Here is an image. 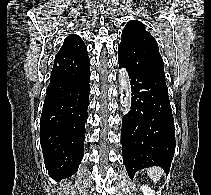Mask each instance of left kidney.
Here are the masks:
<instances>
[{"label": "left kidney", "mask_w": 211, "mask_h": 195, "mask_svg": "<svg viewBox=\"0 0 211 195\" xmlns=\"http://www.w3.org/2000/svg\"><path fill=\"white\" fill-rule=\"evenodd\" d=\"M141 190L144 193V195H155L153 190L147 185L141 186Z\"/></svg>", "instance_id": "obj_1"}]
</instances>
